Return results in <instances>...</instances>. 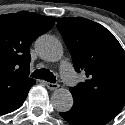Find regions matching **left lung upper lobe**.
<instances>
[{"mask_svg":"<svg viewBox=\"0 0 125 125\" xmlns=\"http://www.w3.org/2000/svg\"><path fill=\"white\" fill-rule=\"evenodd\" d=\"M57 27L75 70L87 76L85 82L69 89L73 99L125 105V51L113 34L85 18H57Z\"/></svg>","mask_w":125,"mask_h":125,"instance_id":"1","label":"left lung upper lobe"}]
</instances>
